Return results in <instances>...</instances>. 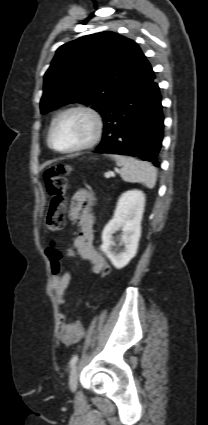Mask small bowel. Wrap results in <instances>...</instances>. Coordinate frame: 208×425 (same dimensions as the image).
<instances>
[{"mask_svg": "<svg viewBox=\"0 0 208 425\" xmlns=\"http://www.w3.org/2000/svg\"><path fill=\"white\" fill-rule=\"evenodd\" d=\"M94 195L86 188H81L75 192L72 197L69 219L78 225V235L73 241L74 253L81 259L89 261L92 265V271L100 274L104 266H109L93 244L95 216L93 213ZM53 292L56 302L59 305L64 304V296L68 289L72 271H60L53 274ZM60 339L67 345H73L79 342L84 336V326L82 322H69L65 311L59 314Z\"/></svg>", "mask_w": 208, "mask_h": 425, "instance_id": "small-bowel-1", "label": "small bowel"}]
</instances>
